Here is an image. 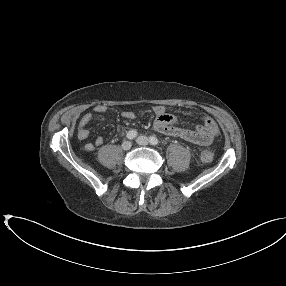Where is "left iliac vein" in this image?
<instances>
[{"label":"left iliac vein","mask_w":286,"mask_h":286,"mask_svg":"<svg viewBox=\"0 0 286 286\" xmlns=\"http://www.w3.org/2000/svg\"><path fill=\"white\" fill-rule=\"evenodd\" d=\"M137 143L140 145H148L149 144V139L146 136H139L136 139Z\"/></svg>","instance_id":"4c4485c4"}]
</instances>
